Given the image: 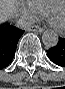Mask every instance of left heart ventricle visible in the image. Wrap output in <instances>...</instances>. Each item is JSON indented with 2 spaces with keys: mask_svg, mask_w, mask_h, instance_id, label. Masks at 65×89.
<instances>
[{
  "mask_svg": "<svg viewBox=\"0 0 65 89\" xmlns=\"http://www.w3.org/2000/svg\"><path fill=\"white\" fill-rule=\"evenodd\" d=\"M52 22L59 27L65 26V8L63 5H59L53 11Z\"/></svg>",
  "mask_w": 65,
  "mask_h": 89,
  "instance_id": "1",
  "label": "left heart ventricle"
}]
</instances>
